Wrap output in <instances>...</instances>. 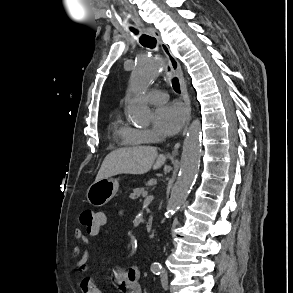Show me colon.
<instances>
[{
  "instance_id": "5ec220e1",
  "label": "colon",
  "mask_w": 293,
  "mask_h": 293,
  "mask_svg": "<svg viewBox=\"0 0 293 293\" xmlns=\"http://www.w3.org/2000/svg\"><path fill=\"white\" fill-rule=\"evenodd\" d=\"M80 221L89 232L97 231L101 227V219L97 215V212H94L91 209H85L81 212ZM99 290L98 287L93 286L91 288V293H98Z\"/></svg>"
}]
</instances>
